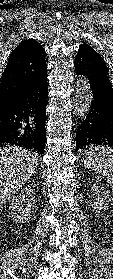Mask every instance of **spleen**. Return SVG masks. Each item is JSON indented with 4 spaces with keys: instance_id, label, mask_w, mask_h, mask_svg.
<instances>
[{
    "instance_id": "1",
    "label": "spleen",
    "mask_w": 113,
    "mask_h": 279,
    "mask_svg": "<svg viewBox=\"0 0 113 279\" xmlns=\"http://www.w3.org/2000/svg\"><path fill=\"white\" fill-rule=\"evenodd\" d=\"M87 169L106 177L113 191V149L105 146H90L83 153Z\"/></svg>"
}]
</instances>
